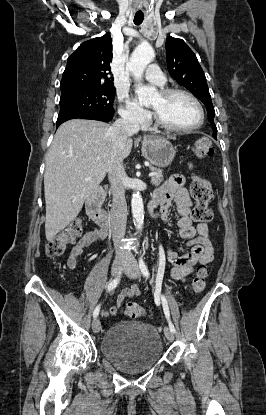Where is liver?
Instances as JSON below:
<instances>
[{"label":"liver","mask_w":266,"mask_h":415,"mask_svg":"<svg viewBox=\"0 0 266 415\" xmlns=\"http://www.w3.org/2000/svg\"><path fill=\"white\" fill-rule=\"evenodd\" d=\"M110 129L100 121L73 119L56 131L44 172L48 241L77 217L84 201L105 178L115 156ZM132 144L128 138L123 158L129 156Z\"/></svg>","instance_id":"1"}]
</instances>
